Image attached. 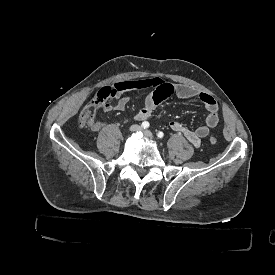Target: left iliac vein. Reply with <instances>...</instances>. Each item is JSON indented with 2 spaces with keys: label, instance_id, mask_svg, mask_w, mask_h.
I'll list each match as a JSON object with an SVG mask.
<instances>
[{
  "label": "left iliac vein",
  "instance_id": "1",
  "mask_svg": "<svg viewBox=\"0 0 275 275\" xmlns=\"http://www.w3.org/2000/svg\"><path fill=\"white\" fill-rule=\"evenodd\" d=\"M143 133L145 136H147L148 138L152 139L153 138V134L151 133V131L149 130H143Z\"/></svg>",
  "mask_w": 275,
  "mask_h": 275
}]
</instances>
